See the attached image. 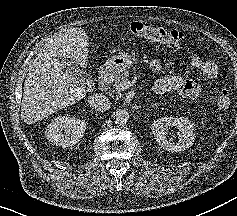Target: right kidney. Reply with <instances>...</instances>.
<instances>
[{"mask_svg":"<svg viewBox=\"0 0 237 216\" xmlns=\"http://www.w3.org/2000/svg\"><path fill=\"white\" fill-rule=\"evenodd\" d=\"M61 127H50L48 130V133H53V135H55V137L57 138L58 132L60 130ZM49 136V135H47ZM80 138L82 137V135L80 134L79 136Z\"/></svg>","mask_w":237,"mask_h":216,"instance_id":"ca27d5eb","label":"right kidney"}]
</instances>
